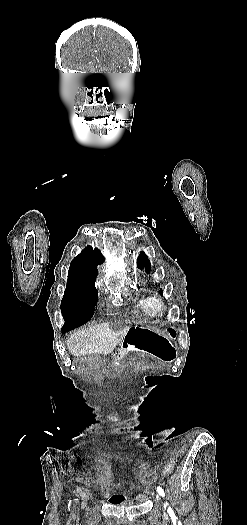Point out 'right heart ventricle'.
I'll list each match as a JSON object with an SVG mask.
<instances>
[{
    "label": "right heart ventricle",
    "mask_w": 247,
    "mask_h": 525,
    "mask_svg": "<svg viewBox=\"0 0 247 525\" xmlns=\"http://www.w3.org/2000/svg\"><path fill=\"white\" fill-rule=\"evenodd\" d=\"M148 294L137 293L132 297V302L138 311L150 314Z\"/></svg>",
    "instance_id": "obj_1"
}]
</instances>
